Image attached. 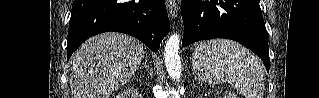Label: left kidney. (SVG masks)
<instances>
[{"mask_svg":"<svg viewBox=\"0 0 319 98\" xmlns=\"http://www.w3.org/2000/svg\"><path fill=\"white\" fill-rule=\"evenodd\" d=\"M220 98H237V96L232 92H224Z\"/></svg>","mask_w":319,"mask_h":98,"instance_id":"5707ae66","label":"left kidney"}]
</instances>
